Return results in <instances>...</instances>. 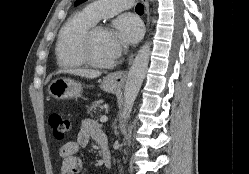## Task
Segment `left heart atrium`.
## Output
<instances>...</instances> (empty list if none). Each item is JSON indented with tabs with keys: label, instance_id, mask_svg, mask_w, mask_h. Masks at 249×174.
Instances as JSON below:
<instances>
[{
	"label": "left heart atrium",
	"instance_id": "39dd6f15",
	"mask_svg": "<svg viewBox=\"0 0 249 174\" xmlns=\"http://www.w3.org/2000/svg\"><path fill=\"white\" fill-rule=\"evenodd\" d=\"M115 57L119 56L123 45L136 42L141 35V26L137 20L131 17H122L115 23V29L111 32Z\"/></svg>",
	"mask_w": 249,
	"mask_h": 174
}]
</instances>
